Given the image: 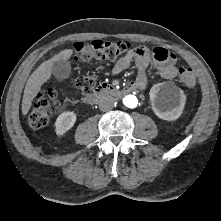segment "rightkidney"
Instances as JSON below:
<instances>
[{
  "instance_id": "1",
  "label": "right kidney",
  "mask_w": 221,
  "mask_h": 221,
  "mask_svg": "<svg viewBox=\"0 0 221 221\" xmlns=\"http://www.w3.org/2000/svg\"><path fill=\"white\" fill-rule=\"evenodd\" d=\"M76 122V115L73 112L61 113L55 122V131L58 135H63L70 130Z\"/></svg>"
}]
</instances>
